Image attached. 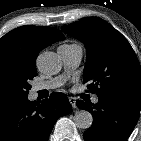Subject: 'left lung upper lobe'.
I'll list each match as a JSON object with an SVG mask.
<instances>
[{
    "mask_svg": "<svg viewBox=\"0 0 141 141\" xmlns=\"http://www.w3.org/2000/svg\"><path fill=\"white\" fill-rule=\"evenodd\" d=\"M87 49L84 82L97 96L141 99V67L127 39L106 21L90 17L62 27Z\"/></svg>",
    "mask_w": 141,
    "mask_h": 141,
    "instance_id": "5c2ea615",
    "label": "left lung upper lobe"
}]
</instances>
